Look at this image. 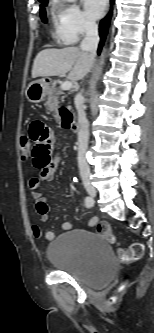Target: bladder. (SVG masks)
Segmentation results:
<instances>
[{
	"mask_svg": "<svg viewBox=\"0 0 154 333\" xmlns=\"http://www.w3.org/2000/svg\"><path fill=\"white\" fill-rule=\"evenodd\" d=\"M45 254L57 270L99 284L108 282L114 272L110 244L102 235L89 229L59 234L48 245Z\"/></svg>",
	"mask_w": 154,
	"mask_h": 333,
	"instance_id": "bladder-1",
	"label": "bladder"
}]
</instances>
